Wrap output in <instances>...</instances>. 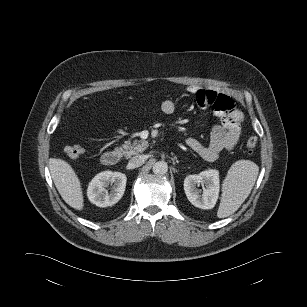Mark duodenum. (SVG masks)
<instances>
[{"label": "duodenum", "instance_id": "410a0bca", "mask_svg": "<svg viewBox=\"0 0 307 307\" xmlns=\"http://www.w3.org/2000/svg\"><path fill=\"white\" fill-rule=\"evenodd\" d=\"M120 160V153L117 150H108L101 156V162L105 166H114Z\"/></svg>", "mask_w": 307, "mask_h": 307}]
</instances>
